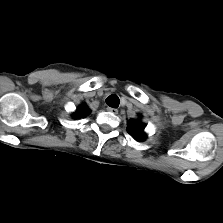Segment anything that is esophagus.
<instances>
[{
	"label": "esophagus",
	"instance_id": "obj_1",
	"mask_svg": "<svg viewBox=\"0 0 223 223\" xmlns=\"http://www.w3.org/2000/svg\"><path fill=\"white\" fill-rule=\"evenodd\" d=\"M107 111L112 114H118V110L116 108L107 107Z\"/></svg>",
	"mask_w": 223,
	"mask_h": 223
}]
</instances>
